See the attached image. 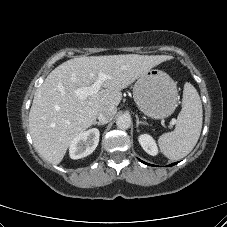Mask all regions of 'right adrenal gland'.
Listing matches in <instances>:
<instances>
[{
    "label": "right adrenal gland",
    "mask_w": 227,
    "mask_h": 227,
    "mask_svg": "<svg viewBox=\"0 0 227 227\" xmlns=\"http://www.w3.org/2000/svg\"><path fill=\"white\" fill-rule=\"evenodd\" d=\"M104 124H105V123H102V122H97V121L94 122V125H98V126L104 125Z\"/></svg>",
    "instance_id": "obj_1"
}]
</instances>
